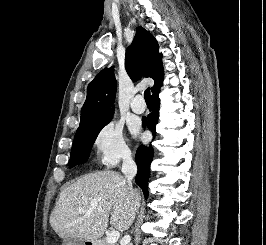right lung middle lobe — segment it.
<instances>
[{
    "label": "right lung middle lobe",
    "mask_w": 266,
    "mask_h": 245,
    "mask_svg": "<svg viewBox=\"0 0 266 245\" xmlns=\"http://www.w3.org/2000/svg\"><path fill=\"white\" fill-rule=\"evenodd\" d=\"M112 118L113 114H110L88 122L80 123L74 137L69 168L83 163L89 158L92 145L97 135Z\"/></svg>",
    "instance_id": "obj_1"
}]
</instances>
